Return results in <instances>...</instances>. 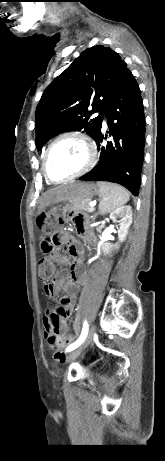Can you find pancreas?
Listing matches in <instances>:
<instances>
[{
    "label": "pancreas",
    "mask_w": 165,
    "mask_h": 461,
    "mask_svg": "<svg viewBox=\"0 0 165 461\" xmlns=\"http://www.w3.org/2000/svg\"><path fill=\"white\" fill-rule=\"evenodd\" d=\"M69 202L72 206V209L75 211H81V210L88 211V212L93 211L91 207L89 206L90 199H73V200H69Z\"/></svg>",
    "instance_id": "obj_1"
}]
</instances>
